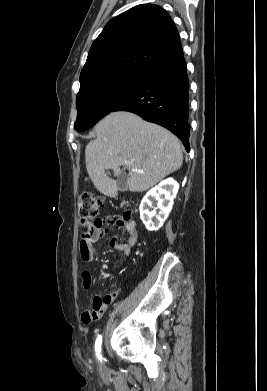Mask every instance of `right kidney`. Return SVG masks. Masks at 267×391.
Here are the masks:
<instances>
[{
  "label": "right kidney",
  "mask_w": 267,
  "mask_h": 391,
  "mask_svg": "<svg viewBox=\"0 0 267 391\" xmlns=\"http://www.w3.org/2000/svg\"><path fill=\"white\" fill-rule=\"evenodd\" d=\"M178 189V182L168 178L149 190L143 197L140 204V218L149 231H157L162 227L172 209ZM157 209H159L158 214Z\"/></svg>",
  "instance_id": "ca27d5eb"
}]
</instances>
